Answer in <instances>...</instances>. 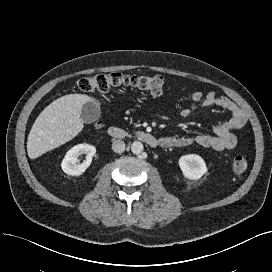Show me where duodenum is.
Segmentation results:
<instances>
[{"mask_svg":"<svg viewBox=\"0 0 272 272\" xmlns=\"http://www.w3.org/2000/svg\"><path fill=\"white\" fill-rule=\"evenodd\" d=\"M108 135L113 139H126V138H128L127 133L116 126H112L108 129ZM133 137L135 139H138V140L144 142L145 144H147L153 148L157 147L160 144L159 140L149 132L140 131V132H137L136 134H134Z\"/></svg>","mask_w":272,"mask_h":272,"instance_id":"1","label":"duodenum"}]
</instances>
